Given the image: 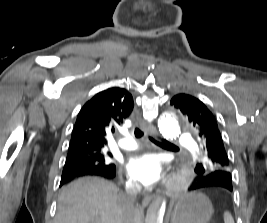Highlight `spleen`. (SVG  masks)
Wrapping results in <instances>:
<instances>
[{
	"label": "spleen",
	"instance_id": "spleen-1",
	"mask_svg": "<svg viewBox=\"0 0 267 223\" xmlns=\"http://www.w3.org/2000/svg\"><path fill=\"white\" fill-rule=\"evenodd\" d=\"M224 222L225 223H234L233 217L229 212L224 213Z\"/></svg>",
	"mask_w": 267,
	"mask_h": 223
}]
</instances>
